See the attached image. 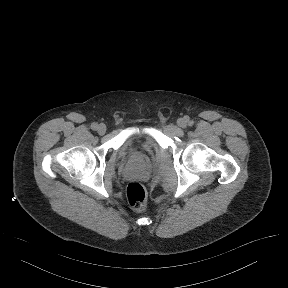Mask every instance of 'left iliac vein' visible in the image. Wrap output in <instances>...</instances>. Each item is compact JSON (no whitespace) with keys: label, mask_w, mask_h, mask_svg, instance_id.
Masks as SVG:
<instances>
[{"label":"left iliac vein","mask_w":288,"mask_h":288,"mask_svg":"<svg viewBox=\"0 0 288 288\" xmlns=\"http://www.w3.org/2000/svg\"><path fill=\"white\" fill-rule=\"evenodd\" d=\"M177 125L181 128H185L188 125V121L185 118H179L177 120Z\"/></svg>","instance_id":"obj_1"}]
</instances>
